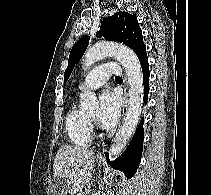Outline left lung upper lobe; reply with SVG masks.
Instances as JSON below:
<instances>
[{"instance_id":"1","label":"left lung upper lobe","mask_w":211,"mask_h":195,"mask_svg":"<svg viewBox=\"0 0 211 195\" xmlns=\"http://www.w3.org/2000/svg\"><path fill=\"white\" fill-rule=\"evenodd\" d=\"M97 37H104L106 40L120 42L130 47L140 59L146 54V46L143 43L142 31L139 27L137 17L130 15L127 12H117L112 16L105 18L100 30L96 33ZM89 44V37L83 36L72 47L68 67L64 74V83L68 80L75 64L83 56L87 46Z\"/></svg>"}]
</instances>
